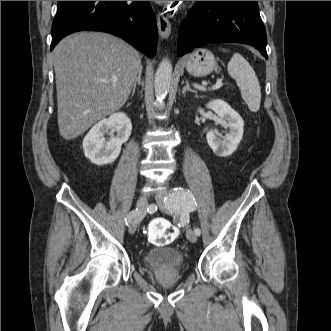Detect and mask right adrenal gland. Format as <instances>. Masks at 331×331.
Segmentation results:
<instances>
[{"instance_id":"obj_1","label":"right adrenal gland","mask_w":331,"mask_h":331,"mask_svg":"<svg viewBox=\"0 0 331 331\" xmlns=\"http://www.w3.org/2000/svg\"><path fill=\"white\" fill-rule=\"evenodd\" d=\"M141 71L139 72V74H138V77L136 78V80H135V82H134V85H133V90H132V94H131V96H133L134 94H135V90H136V85H137V83L140 85V83H141Z\"/></svg>"}]
</instances>
